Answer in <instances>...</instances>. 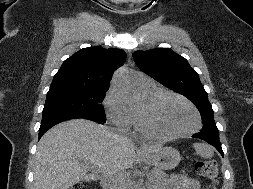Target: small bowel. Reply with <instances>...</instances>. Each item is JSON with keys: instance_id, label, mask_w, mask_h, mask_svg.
Instances as JSON below:
<instances>
[{"instance_id": "1", "label": "small bowel", "mask_w": 253, "mask_h": 189, "mask_svg": "<svg viewBox=\"0 0 253 189\" xmlns=\"http://www.w3.org/2000/svg\"><path fill=\"white\" fill-rule=\"evenodd\" d=\"M167 189H200L198 180L185 175H175L168 183Z\"/></svg>"}]
</instances>
